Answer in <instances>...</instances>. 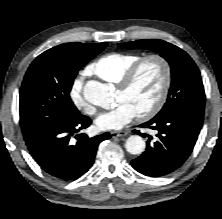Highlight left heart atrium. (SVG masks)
Masks as SVG:
<instances>
[{"mask_svg": "<svg viewBox=\"0 0 222 219\" xmlns=\"http://www.w3.org/2000/svg\"><path fill=\"white\" fill-rule=\"evenodd\" d=\"M136 116V110L129 103L120 102L112 110L100 114L95 123L100 130H120Z\"/></svg>", "mask_w": 222, "mask_h": 219, "instance_id": "1", "label": "left heart atrium"}]
</instances>
